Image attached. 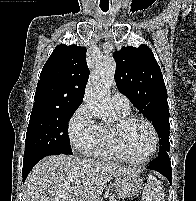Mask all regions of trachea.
<instances>
[{
    "instance_id": "3493384b",
    "label": "trachea",
    "mask_w": 196,
    "mask_h": 201,
    "mask_svg": "<svg viewBox=\"0 0 196 201\" xmlns=\"http://www.w3.org/2000/svg\"><path fill=\"white\" fill-rule=\"evenodd\" d=\"M100 8L103 12H107L109 10V7L107 6H100Z\"/></svg>"
}]
</instances>
